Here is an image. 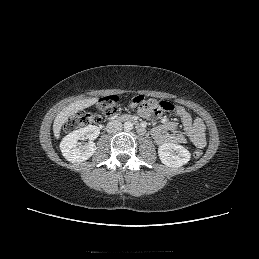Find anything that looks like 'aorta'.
Masks as SVG:
<instances>
[{
    "mask_svg": "<svg viewBox=\"0 0 259 259\" xmlns=\"http://www.w3.org/2000/svg\"><path fill=\"white\" fill-rule=\"evenodd\" d=\"M124 129H125L126 131L132 130V129H133V124H132L131 122H129V121L125 122V123H124Z\"/></svg>",
    "mask_w": 259,
    "mask_h": 259,
    "instance_id": "762f6f07",
    "label": "aorta"
}]
</instances>
